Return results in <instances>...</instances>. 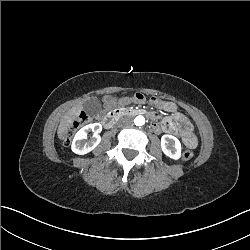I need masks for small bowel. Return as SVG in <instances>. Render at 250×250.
<instances>
[{
	"label": "small bowel",
	"instance_id": "1",
	"mask_svg": "<svg viewBox=\"0 0 250 250\" xmlns=\"http://www.w3.org/2000/svg\"><path fill=\"white\" fill-rule=\"evenodd\" d=\"M130 101H132L131 97H112L110 95H107L103 99V105L107 109H112L116 106L127 105L130 103ZM155 104L168 112L175 113L176 118L181 122V124L180 126L176 124L173 126V128L176 129L179 134L183 135L185 137V140L193 135L192 125L183 114L177 112V108L174 103L155 100ZM153 129L155 130V132H161L162 130L166 129V125L155 122L153 124ZM193 138L196 139L194 135Z\"/></svg>",
	"mask_w": 250,
	"mask_h": 250
}]
</instances>
